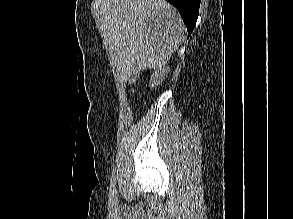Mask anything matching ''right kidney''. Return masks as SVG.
<instances>
[{"mask_svg": "<svg viewBox=\"0 0 293 219\" xmlns=\"http://www.w3.org/2000/svg\"><path fill=\"white\" fill-rule=\"evenodd\" d=\"M170 69L168 67L166 68H159L158 70L155 71V73L152 74L151 79H150V86L151 87H156L162 81L167 77Z\"/></svg>", "mask_w": 293, "mask_h": 219, "instance_id": "obj_1", "label": "right kidney"}]
</instances>
